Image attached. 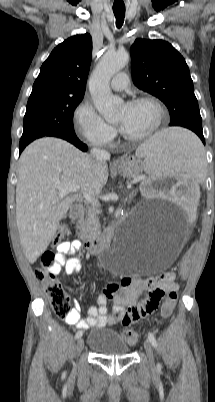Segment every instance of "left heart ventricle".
<instances>
[{
	"mask_svg": "<svg viewBox=\"0 0 215 402\" xmlns=\"http://www.w3.org/2000/svg\"><path fill=\"white\" fill-rule=\"evenodd\" d=\"M156 120V110L149 103L135 105H123L116 117V122L122 130L132 136H137L149 131Z\"/></svg>",
	"mask_w": 215,
	"mask_h": 402,
	"instance_id": "b2bd125f",
	"label": "left heart ventricle"
}]
</instances>
